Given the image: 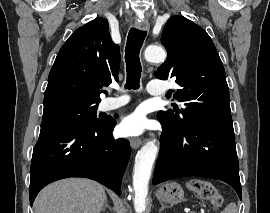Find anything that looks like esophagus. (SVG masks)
<instances>
[{"mask_svg": "<svg viewBox=\"0 0 270 213\" xmlns=\"http://www.w3.org/2000/svg\"><path fill=\"white\" fill-rule=\"evenodd\" d=\"M135 27L139 30L148 31L150 29L149 22L146 20L142 21H136ZM142 144V141L140 138H131L130 139V145L133 149H137Z\"/></svg>", "mask_w": 270, "mask_h": 213, "instance_id": "1", "label": "esophagus"}]
</instances>
